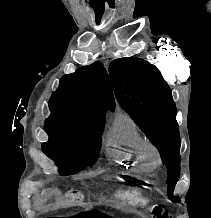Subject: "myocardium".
<instances>
[{"label":"myocardium","mask_w":211,"mask_h":218,"mask_svg":"<svg viewBox=\"0 0 211 218\" xmlns=\"http://www.w3.org/2000/svg\"><path fill=\"white\" fill-rule=\"evenodd\" d=\"M142 160H149L156 164L159 163L160 154L157 147L153 143L148 141L145 143L142 150Z\"/></svg>","instance_id":"f54148a6"}]
</instances>
